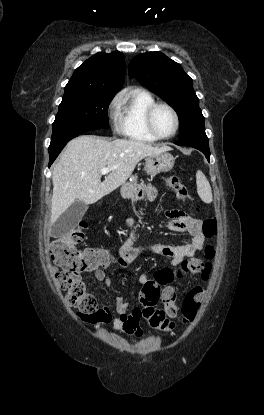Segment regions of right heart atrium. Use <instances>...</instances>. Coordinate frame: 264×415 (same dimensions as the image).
Returning a JSON list of instances; mask_svg holds the SVG:
<instances>
[{
  "instance_id": "1",
  "label": "right heart atrium",
  "mask_w": 264,
  "mask_h": 415,
  "mask_svg": "<svg viewBox=\"0 0 264 415\" xmlns=\"http://www.w3.org/2000/svg\"><path fill=\"white\" fill-rule=\"evenodd\" d=\"M117 103H118V101H117V99H114L113 101H112V103H111V105H110V108H109V110L112 112L113 111V109L117 106ZM116 114H114L113 115V119L114 120H116Z\"/></svg>"
}]
</instances>
